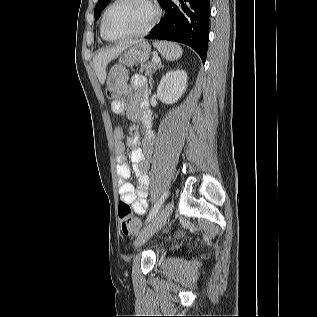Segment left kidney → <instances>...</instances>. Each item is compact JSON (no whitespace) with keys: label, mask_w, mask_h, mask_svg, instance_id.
<instances>
[{"label":"left kidney","mask_w":317,"mask_h":317,"mask_svg":"<svg viewBox=\"0 0 317 317\" xmlns=\"http://www.w3.org/2000/svg\"><path fill=\"white\" fill-rule=\"evenodd\" d=\"M187 88V73L184 70L169 71L157 88L158 98L166 104L178 101Z\"/></svg>","instance_id":"5707ae66"}]
</instances>
